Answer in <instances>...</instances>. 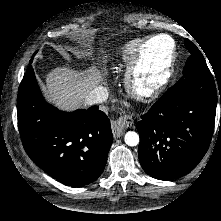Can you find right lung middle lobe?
Instances as JSON below:
<instances>
[{
  "label": "right lung middle lobe",
  "instance_id": "right-lung-middle-lobe-1",
  "mask_svg": "<svg viewBox=\"0 0 221 221\" xmlns=\"http://www.w3.org/2000/svg\"><path fill=\"white\" fill-rule=\"evenodd\" d=\"M34 55H35V54H34ZM34 55L32 56V58H31V60H30V63L32 62Z\"/></svg>",
  "mask_w": 221,
  "mask_h": 221
}]
</instances>
